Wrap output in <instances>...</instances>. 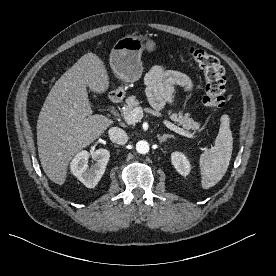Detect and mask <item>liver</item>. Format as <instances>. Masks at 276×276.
Returning a JSON list of instances; mask_svg holds the SVG:
<instances>
[{
	"instance_id": "6515ba94",
	"label": "liver",
	"mask_w": 276,
	"mask_h": 276,
	"mask_svg": "<svg viewBox=\"0 0 276 276\" xmlns=\"http://www.w3.org/2000/svg\"><path fill=\"white\" fill-rule=\"evenodd\" d=\"M87 87L96 93L109 88L104 62L83 55L54 84L37 121V145L42 168L51 181L63 185L72 157L89 146L113 123L92 115Z\"/></svg>"
}]
</instances>
